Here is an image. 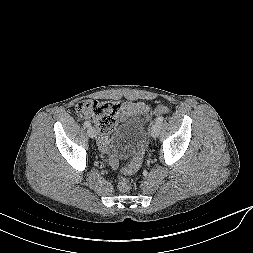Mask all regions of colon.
Here are the masks:
<instances>
[{
    "instance_id": "colon-1",
    "label": "colon",
    "mask_w": 253,
    "mask_h": 253,
    "mask_svg": "<svg viewBox=\"0 0 253 253\" xmlns=\"http://www.w3.org/2000/svg\"><path fill=\"white\" fill-rule=\"evenodd\" d=\"M121 108L120 103L110 101L84 100L76 105V112L83 117L91 119L97 129L106 134L110 132L117 121V114ZM145 152L144 141L135 152L130 163L120 171L118 178V189L121 192H128L131 189V182L128 175L135 173L141 166Z\"/></svg>"
}]
</instances>
